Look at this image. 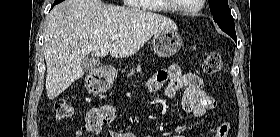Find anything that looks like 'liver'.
<instances>
[{
  "instance_id": "liver-1",
  "label": "liver",
  "mask_w": 280,
  "mask_h": 137,
  "mask_svg": "<svg viewBox=\"0 0 280 137\" xmlns=\"http://www.w3.org/2000/svg\"><path fill=\"white\" fill-rule=\"evenodd\" d=\"M177 29L169 18L135 8L104 5L99 0H65L48 15L43 46L46 92L53 100L84 74L81 60L134 55L154 35ZM119 35L113 40L112 36Z\"/></svg>"
}]
</instances>
